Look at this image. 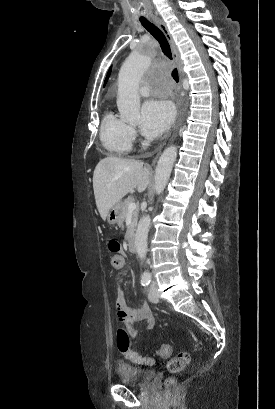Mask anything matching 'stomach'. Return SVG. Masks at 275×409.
<instances>
[{
    "label": "stomach",
    "instance_id": "obj_1",
    "mask_svg": "<svg viewBox=\"0 0 275 409\" xmlns=\"http://www.w3.org/2000/svg\"><path fill=\"white\" fill-rule=\"evenodd\" d=\"M122 213V202H116V205H113L112 209H109V213L107 215V221L109 225H116L119 221V217Z\"/></svg>",
    "mask_w": 275,
    "mask_h": 409
}]
</instances>
